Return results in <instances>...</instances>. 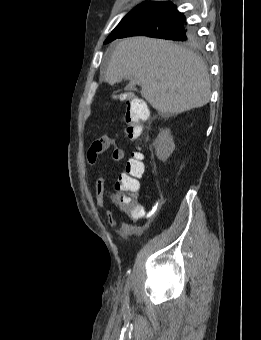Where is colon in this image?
Listing matches in <instances>:
<instances>
[{
  "label": "colon",
  "mask_w": 261,
  "mask_h": 340,
  "mask_svg": "<svg viewBox=\"0 0 261 340\" xmlns=\"http://www.w3.org/2000/svg\"><path fill=\"white\" fill-rule=\"evenodd\" d=\"M146 103L134 97H129L124 105V123L126 134L132 140H137L144 131V122L148 118ZM144 173L143 155L135 152L127 161L125 173L121 175L110 194V199L129 214L137 215L142 212L141 206L134 201L133 194L137 191L138 180Z\"/></svg>",
  "instance_id": "colon-1"
}]
</instances>
